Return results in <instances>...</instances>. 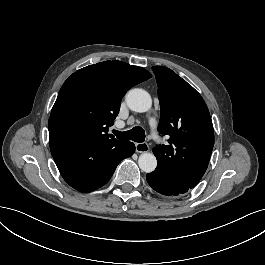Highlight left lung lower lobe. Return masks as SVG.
Returning a JSON list of instances; mask_svg holds the SVG:
<instances>
[{
  "instance_id": "left-lung-lower-lobe-1",
  "label": "left lung lower lobe",
  "mask_w": 265,
  "mask_h": 265,
  "mask_svg": "<svg viewBox=\"0 0 265 265\" xmlns=\"http://www.w3.org/2000/svg\"><path fill=\"white\" fill-rule=\"evenodd\" d=\"M147 182L155 191L166 196L181 195L192 189L179 179L159 168L147 174Z\"/></svg>"
}]
</instances>
